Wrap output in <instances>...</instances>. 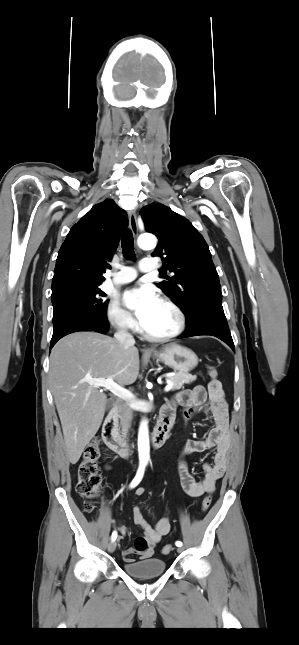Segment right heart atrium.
<instances>
[{"mask_svg": "<svg viewBox=\"0 0 299 645\" xmlns=\"http://www.w3.org/2000/svg\"><path fill=\"white\" fill-rule=\"evenodd\" d=\"M106 315L110 325L117 330L132 331L136 328L134 319L117 302H111L108 305Z\"/></svg>", "mask_w": 299, "mask_h": 645, "instance_id": "1", "label": "right heart atrium"}]
</instances>
